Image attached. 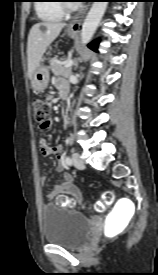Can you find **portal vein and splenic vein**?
<instances>
[{
  "instance_id": "obj_1",
  "label": "portal vein and splenic vein",
  "mask_w": 158,
  "mask_h": 275,
  "mask_svg": "<svg viewBox=\"0 0 158 275\" xmlns=\"http://www.w3.org/2000/svg\"><path fill=\"white\" fill-rule=\"evenodd\" d=\"M72 65H73V60L72 59L67 60V62L65 63L66 67H71Z\"/></svg>"
}]
</instances>
